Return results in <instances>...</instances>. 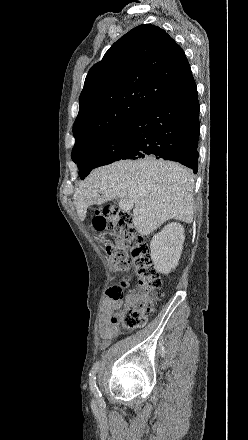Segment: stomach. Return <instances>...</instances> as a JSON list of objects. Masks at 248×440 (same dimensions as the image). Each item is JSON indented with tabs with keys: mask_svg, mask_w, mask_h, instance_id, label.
Wrapping results in <instances>:
<instances>
[{
	"mask_svg": "<svg viewBox=\"0 0 248 440\" xmlns=\"http://www.w3.org/2000/svg\"><path fill=\"white\" fill-rule=\"evenodd\" d=\"M91 225L93 232H106L107 230L105 218H92Z\"/></svg>",
	"mask_w": 248,
	"mask_h": 440,
	"instance_id": "1",
	"label": "stomach"
}]
</instances>
